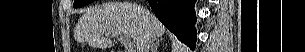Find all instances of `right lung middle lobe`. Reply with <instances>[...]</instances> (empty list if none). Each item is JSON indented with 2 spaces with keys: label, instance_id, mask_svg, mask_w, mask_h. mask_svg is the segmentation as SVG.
I'll use <instances>...</instances> for the list:
<instances>
[{
  "label": "right lung middle lobe",
  "instance_id": "obj_1",
  "mask_svg": "<svg viewBox=\"0 0 305 52\" xmlns=\"http://www.w3.org/2000/svg\"><path fill=\"white\" fill-rule=\"evenodd\" d=\"M93 1L94 0H75L73 6L76 7V8L77 7H82V6L87 5V4H89Z\"/></svg>",
  "mask_w": 305,
  "mask_h": 52
}]
</instances>
